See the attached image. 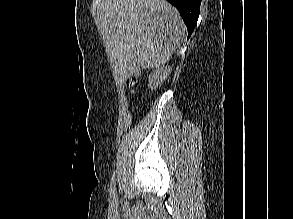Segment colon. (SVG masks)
<instances>
[{"mask_svg": "<svg viewBox=\"0 0 293 219\" xmlns=\"http://www.w3.org/2000/svg\"><path fill=\"white\" fill-rule=\"evenodd\" d=\"M136 82H137V77H136L135 75L130 76V77L128 78V80H127V84H128L129 86H133V85H135Z\"/></svg>", "mask_w": 293, "mask_h": 219, "instance_id": "5ec220e1", "label": "colon"}]
</instances>
